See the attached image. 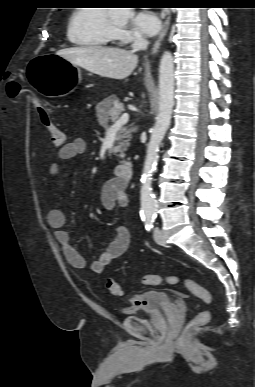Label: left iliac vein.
<instances>
[{"instance_id":"left-iliac-vein-1","label":"left iliac vein","mask_w":255,"mask_h":387,"mask_svg":"<svg viewBox=\"0 0 255 387\" xmlns=\"http://www.w3.org/2000/svg\"><path fill=\"white\" fill-rule=\"evenodd\" d=\"M154 240L159 245H165L166 244V237L163 234V232L159 228H155L153 231Z\"/></svg>"}]
</instances>
